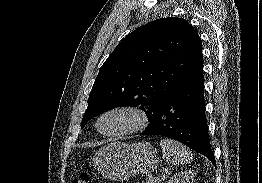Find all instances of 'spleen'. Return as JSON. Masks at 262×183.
Returning <instances> with one entry per match:
<instances>
[{"label":"spleen","instance_id":"spleen-1","mask_svg":"<svg viewBox=\"0 0 262 183\" xmlns=\"http://www.w3.org/2000/svg\"><path fill=\"white\" fill-rule=\"evenodd\" d=\"M160 146L163 158L175 166L189 164L193 158L190 150L175 140L163 139Z\"/></svg>","mask_w":262,"mask_h":183}]
</instances>
